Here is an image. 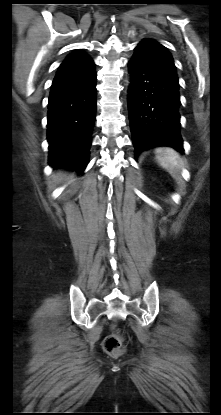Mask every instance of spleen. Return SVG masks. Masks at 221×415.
<instances>
[{
    "label": "spleen",
    "mask_w": 221,
    "mask_h": 415,
    "mask_svg": "<svg viewBox=\"0 0 221 415\" xmlns=\"http://www.w3.org/2000/svg\"><path fill=\"white\" fill-rule=\"evenodd\" d=\"M155 153L159 165L167 170L173 178H179L182 168L180 155L169 147L158 148Z\"/></svg>",
    "instance_id": "3e777b00"
}]
</instances>
